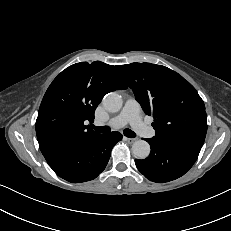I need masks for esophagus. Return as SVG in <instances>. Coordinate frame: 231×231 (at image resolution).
<instances>
[{
  "label": "esophagus",
  "mask_w": 231,
  "mask_h": 231,
  "mask_svg": "<svg viewBox=\"0 0 231 231\" xmlns=\"http://www.w3.org/2000/svg\"><path fill=\"white\" fill-rule=\"evenodd\" d=\"M124 139L129 142V143H134L135 141H137V138H127V137H124Z\"/></svg>",
  "instance_id": "obj_1"
}]
</instances>
